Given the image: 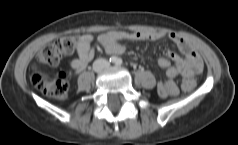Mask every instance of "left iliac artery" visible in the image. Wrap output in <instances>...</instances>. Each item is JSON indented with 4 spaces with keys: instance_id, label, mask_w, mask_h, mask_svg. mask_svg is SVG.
<instances>
[{
    "instance_id": "obj_1",
    "label": "left iliac artery",
    "mask_w": 238,
    "mask_h": 145,
    "mask_svg": "<svg viewBox=\"0 0 238 145\" xmlns=\"http://www.w3.org/2000/svg\"><path fill=\"white\" fill-rule=\"evenodd\" d=\"M122 63H123V62H122V59H121V58H118L116 64H117L118 66H121Z\"/></svg>"
}]
</instances>
